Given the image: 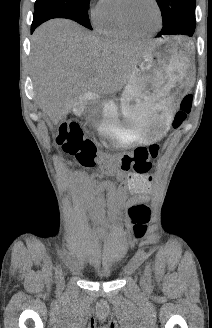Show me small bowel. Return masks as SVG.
Returning <instances> with one entry per match:
<instances>
[{
  "label": "small bowel",
  "mask_w": 212,
  "mask_h": 328,
  "mask_svg": "<svg viewBox=\"0 0 212 328\" xmlns=\"http://www.w3.org/2000/svg\"><path fill=\"white\" fill-rule=\"evenodd\" d=\"M104 176L116 177L121 182V192L137 190L142 184L153 180L152 175L147 172L137 173L134 170H113L112 173L96 171L91 177L83 173L75 175L73 183L76 194L88 207L91 221L100 226L98 229L100 235L112 227L118 211L124 205L121 192L117 190L115 183L103 180Z\"/></svg>",
  "instance_id": "obj_1"
}]
</instances>
